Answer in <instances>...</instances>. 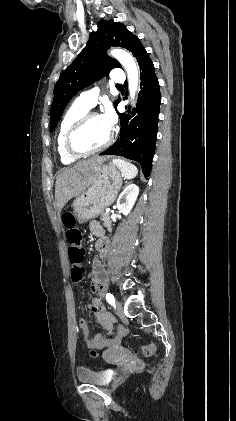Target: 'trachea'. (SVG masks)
I'll return each mask as SVG.
<instances>
[{"mask_svg":"<svg viewBox=\"0 0 236 421\" xmlns=\"http://www.w3.org/2000/svg\"><path fill=\"white\" fill-rule=\"evenodd\" d=\"M116 87H122V85L120 83H117Z\"/></svg>","mask_w":236,"mask_h":421,"instance_id":"1","label":"trachea"}]
</instances>
